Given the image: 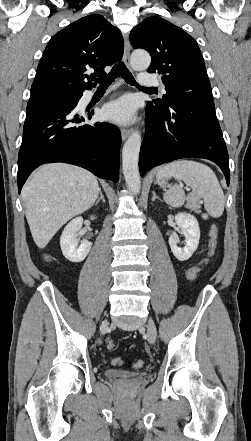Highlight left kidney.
I'll return each mask as SVG.
<instances>
[{"instance_id":"5707ae66","label":"left kidney","mask_w":251,"mask_h":441,"mask_svg":"<svg viewBox=\"0 0 251 441\" xmlns=\"http://www.w3.org/2000/svg\"><path fill=\"white\" fill-rule=\"evenodd\" d=\"M175 223L185 237V246L183 248L177 246L178 241L175 235L170 236L168 242L174 256L179 261H186L198 247L200 239L199 224L197 219L189 213H177Z\"/></svg>"}]
</instances>
